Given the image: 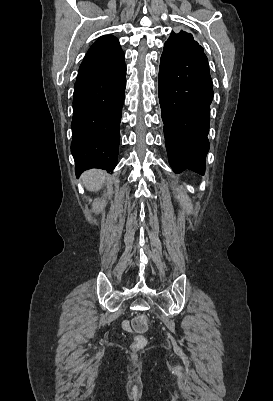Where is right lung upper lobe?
Wrapping results in <instances>:
<instances>
[{"instance_id": "1", "label": "right lung upper lobe", "mask_w": 273, "mask_h": 401, "mask_svg": "<svg viewBox=\"0 0 273 401\" xmlns=\"http://www.w3.org/2000/svg\"><path fill=\"white\" fill-rule=\"evenodd\" d=\"M124 58L118 39L113 35L99 38L87 52L77 78L108 68Z\"/></svg>"}]
</instances>
